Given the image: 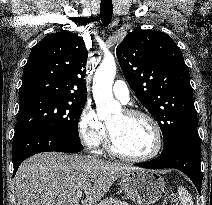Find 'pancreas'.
I'll return each mask as SVG.
<instances>
[{"mask_svg":"<svg viewBox=\"0 0 212 205\" xmlns=\"http://www.w3.org/2000/svg\"><path fill=\"white\" fill-rule=\"evenodd\" d=\"M98 205H129V204L126 203V202H122L120 200H117V199L106 198L105 200H103Z\"/></svg>","mask_w":212,"mask_h":205,"instance_id":"pancreas-1","label":"pancreas"}]
</instances>
